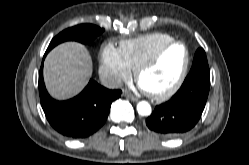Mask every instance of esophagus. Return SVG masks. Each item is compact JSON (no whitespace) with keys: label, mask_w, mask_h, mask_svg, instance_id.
<instances>
[{"label":"esophagus","mask_w":249,"mask_h":165,"mask_svg":"<svg viewBox=\"0 0 249 165\" xmlns=\"http://www.w3.org/2000/svg\"><path fill=\"white\" fill-rule=\"evenodd\" d=\"M123 95L125 97H127L128 99H130L131 101L133 102H137L138 101V98H136L134 95L128 93V92H123Z\"/></svg>","instance_id":"obj_1"}]
</instances>
